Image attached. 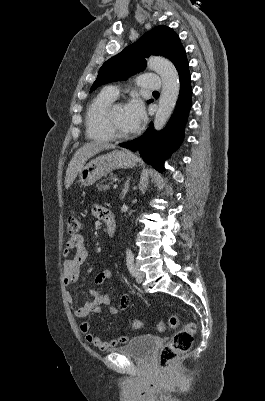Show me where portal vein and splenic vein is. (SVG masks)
<instances>
[{
  "label": "portal vein and splenic vein",
  "instance_id": "obj_1",
  "mask_svg": "<svg viewBox=\"0 0 265 401\" xmlns=\"http://www.w3.org/2000/svg\"><path fill=\"white\" fill-rule=\"evenodd\" d=\"M113 188H118V185L117 184L113 185Z\"/></svg>",
  "mask_w": 265,
  "mask_h": 401
}]
</instances>
